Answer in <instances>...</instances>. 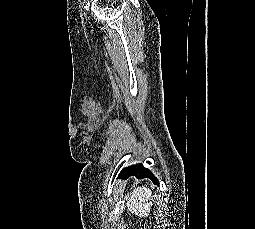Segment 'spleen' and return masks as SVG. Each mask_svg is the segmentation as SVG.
I'll use <instances>...</instances> for the list:
<instances>
[{
    "instance_id": "3e777b00",
    "label": "spleen",
    "mask_w": 255,
    "mask_h": 229,
    "mask_svg": "<svg viewBox=\"0 0 255 229\" xmlns=\"http://www.w3.org/2000/svg\"><path fill=\"white\" fill-rule=\"evenodd\" d=\"M152 191L146 186L135 188L127 197V210L140 217H147L152 203Z\"/></svg>"
}]
</instances>
